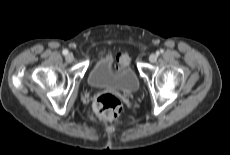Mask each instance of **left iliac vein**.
Segmentation results:
<instances>
[{
	"instance_id": "obj_1",
	"label": "left iliac vein",
	"mask_w": 230,
	"mask_h": 155,
	"mask_svg": "<svg viewBox=\"0 0 230 155\" xmlns=\"http://www.w3.org/2000/svg\"><path fill=\"white\" fill-rule=\"evenodd\" d=\"M157 58L158 56L155 53L149 55V61L152 63L156 62Z\"/></svg>"
}]
</instances>
